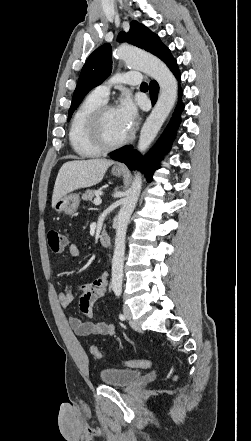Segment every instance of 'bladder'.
Here are the masks:
<instances>
[{"label":"bladder","instance_id":"31cf9c89","mask_svg":"<svg viewBox=\"0 0 251 441\" xmlns=\"http://www.w3.org/2000/svg\"><path fill=\"white\" fill-rule=\"evenodd\" d=\"M140 376V371L121 368H105L99 373L101 382L112 387L131 386Z\"/></svg>","mask_w":251,"mask_h":441}]
</instances>
